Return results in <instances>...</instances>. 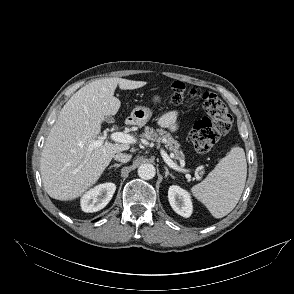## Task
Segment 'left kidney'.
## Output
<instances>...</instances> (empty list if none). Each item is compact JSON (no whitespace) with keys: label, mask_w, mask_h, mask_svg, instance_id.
<instances>
[{"label":"left kidney","mask_w":294,"mask_h":294,"mask_svg":"<svg viewBox=\"0 0 294 294\" xmlns=\"http://www.w3.org/2000/svg\"><path fill=\"white\" fill-rule=\"evenodd\" d=\"M168 200L172 209L185 218L192 214L193 206L190 194L179 186L172 185L168 190Z\"/></svg>","instance_id":"obj_1"}]
</instances>
